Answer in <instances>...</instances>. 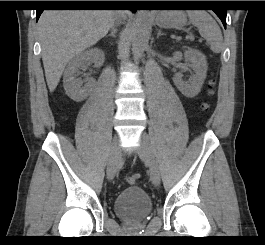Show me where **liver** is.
Listing matches in <instances>:
<instances>
[{
    "instance_id": "6515ba94",
    "label": "liver",
    "mask_w": 265,
    "mask_h": 245,
    "mask_svg": "<svg viewBox=\"0 0 265 245\" xmlns=\"http://www.w3.org/2000/svg\"><path fill=\"white\" fill-rule=\"evenodd\" d=\"M125 12L110 10H46L38 21L42 61L48 88L53 92L65 66L103 38Z\"/></svg>"
}]
</instances>
